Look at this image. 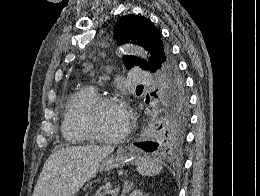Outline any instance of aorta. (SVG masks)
<instances>
[{
	"instance_id": "obj_1",
	"label": "aorta",
	"mask_w": 260,
	"mask_h": 196,
	"mask_svg": "<svg viewBox=\"0 0 260 196\" xmlns=\"http://www.w3.org/2000/svg\"><path fill=\"white\" fill-rule=\"evenodd\" d=\"M119 54L121 55H136L139 58L146 59L147 53L141 47L134 46L132 44L123 45L119 48Z\"/></svg>"
}]
</instances>
